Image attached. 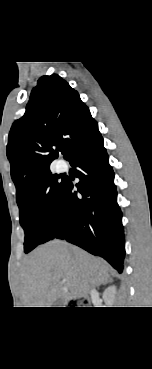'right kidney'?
<instances>
[{"label":"right kidney","instance_id":"right-kidney-1","mask_svg":"<svg viewBox=\"0 0 152 369\" xmlns=\"http://www.w3.org/2000/svg\"><path fill=\"white\" fill-rule=\"evenodd\" d=\"M115 296H116V286L115 285L107 287L105 291L103 292V299L105 303L107 304L113 302L115 299Z\"/></svg>","mask_w":152,"mask_h":369}]
</instances>
